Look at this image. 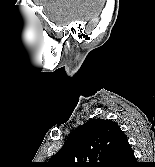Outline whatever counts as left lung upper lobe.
<instances>
[{
  "label": "left lung upper lobe",
  "instance_id": "obj_1",
  "mask_svg": "<svg viewBox=\"0 0 155 167\" xmlns=\"http://www.w3.org/2000/svg\"><path fill=\"white\" fill-rule=\"evenodd\" d=\"M126 138L116 122L90 119L48 161L51 167H110Z\"/></svg>",
  "mask_w": 155,
  "mask_h": 167
}]
</instances>
